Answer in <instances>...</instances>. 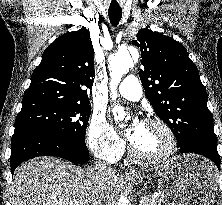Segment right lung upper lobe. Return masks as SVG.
Returning a JSON list of instances; mask_svg holds the SVG:
<instances>
[{
    "label": "right lung upper lobe",
    "instance_id": "obj_1",
    "mask_svg": "<svg viewBox=\"0 0 222 205\" xmlns=\"http://www.w3.org/2000/svg\"><path fill=\"white\" fill-rule=\"evenodd\" d=\"M93 55L86 28L58 37L33 71L21 112L47 105L89 104L87 91L95 75Z\"/></svg>",
    "mask_w": 222,
    "mask_h": 205
}]
</instances>
